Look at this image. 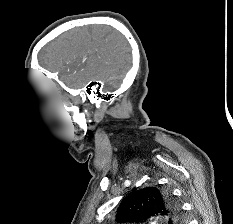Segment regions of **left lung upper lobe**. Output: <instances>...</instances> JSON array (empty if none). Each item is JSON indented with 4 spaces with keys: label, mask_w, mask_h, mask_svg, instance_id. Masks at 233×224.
Masks as SVG:
<instances>
[{
    "label": "left lung upper lobe",
    "mask_w": 233,
    "mask_h": 224,
    "mask_svg": "<svg viewBox=\"0 0 233 224\" xmlns=\"http://www.w3.org/2000/svg\"><path fill=\"white\" fill-rule=\"evenodd\" d=\"M154 215L168 218V224H179L180 207L172 196L155 187H147L128 195L118 208V217L123 221H142Z\"/></svg>",
    "instance_id": "left-lung-upper-lobe-1"
}]
</instances>
